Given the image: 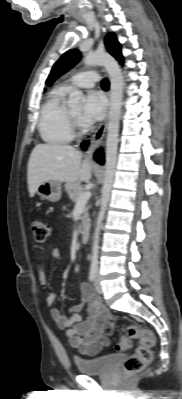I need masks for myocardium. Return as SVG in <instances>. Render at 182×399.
<instances>
[{
	"instance_id": "myocardium-1",
	"label": "myocardium",
	"mask_w": 182,
	"mask_h": 399,
	"mask_svg": "<svg viewBox=\"0 0 182 399\" xmlns=\"http://www.w3.org/2000/svg\"><path fill=\"white\" fill-rule=\"evenodd\" d=\"M69 120H70V125H71V129H72L73 133L82 134L83 126L79 122L78 118L75 117L70 110H69Z\"/></svg>"
}]
</instances>
